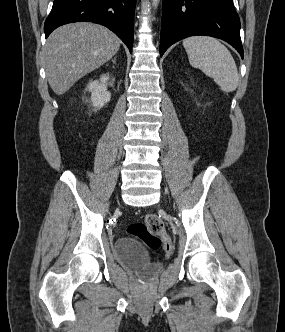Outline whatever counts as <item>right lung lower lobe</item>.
<instances>
[{
	"mask_svg": "<svg viewBox=\"0 0 285 332\" xmlns=\"http://www.w3.org/2000/svg\"><path fill=\"white\" fill-rule=\"evenodd\" d=\"M135 5L136 0H54L44 25L46 38L67 23L95 22L112 30L132 52Z\"/></svg>",
	"mask_w": 285,
	"mask_h": 332,
	"instance_id": "right-lung-lower-lobe-1",
	"label": "right lung lower lobe"
}]
</instances>
